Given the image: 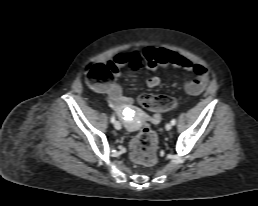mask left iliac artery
<instances>
[{"mask_svg":"<svg viewBox=\"0 0 258 206\" xmlns=\"http://www.w3.org/2000/svg\"><path fill=\"white\" fill-rule=\"evenodd\" d=\"M171 124H172V125H175V124H176V120H175V119H172V120H171Z\"/></svg>","mask_w":258,"mask_h":206,"instance_id":"left-iliac-artery-1","label":"left iliac artery"}]
</instances>
